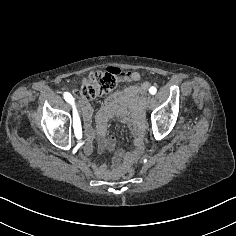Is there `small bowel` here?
Returning <instances> with one entry per match:
<instances>
[{"label":"small bowel","mask_w":236,"mask_h":236,"mask_svg":"<svg viewBox=\"0 0 236 236\" xmlns=\"http://www.w3.org/2000/svg\"><path fill=\"white\" fill-rule=\"evenodd\" d=\"M119 79L123 81H139L141 76L136 71H120ZM148 87L147 82H141L140 85H131L109 95L95 116V128L92 126V105L87 100L80 101L86 135L84 144L86 154L92 153V141L95 137L98 140L100 152L113 149L115 138L109 135L107 131L108 121L113 117L128 126L134 137V150L132 152H117L111 166L95 163L92 165L97 176L104 179L114 178L122 167L136 161L142 155L145 148L144 100Z\"/></svg>","instance_id":"small-bowel-1"}]
</instances>
